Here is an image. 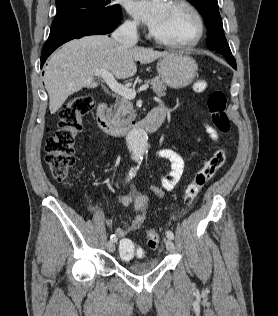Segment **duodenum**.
Instances as JSON below:
<instances>
[{
  "label": "duodenum",
  "mask_w": 278,
  "mask_h": 316,
  "mask_svg": "<svg viewBox=\"0 0 278 316\" xmlns=\"http://www.w3.org/2000/svg\"><path fill=\"white\" fill-rule=\"evenodd\" d=\"M165 118V111L162 107L153 108L147 116L137 122H133L128 126L122 127L114 125L108 117V104L100 103L96 111V120L99 128L107 134L113 136H122L132 130H143L147 133L156 132L162 125Z\"/></svg>",
  "instance_id": "1"
}]
</instances>
